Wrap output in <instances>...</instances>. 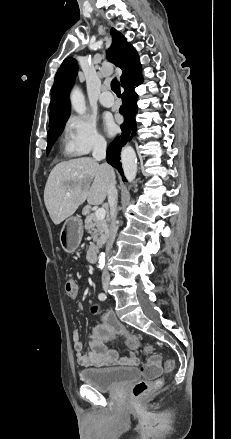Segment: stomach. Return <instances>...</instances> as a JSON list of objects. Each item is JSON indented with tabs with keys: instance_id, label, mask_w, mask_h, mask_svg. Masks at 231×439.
I'll return each instance as SVG.
<instances>
[{
	"instance_id": "stomach-1",
	"label": "stomach",
	"mask_w": 231,
	"mask_h": 439,
	"mask_svg": "<svg viewBox=\"0 0 231 439\" xmlns=\"http://www.w3.org/2000/svg\"><path fill=\"white\" fill-rule=\"evenodd\" d=\"M83 236V223L78 217L68 218L60 232L59 240L63 250L73 253L79 246Z\"/></svg>"
}]
</instances>
